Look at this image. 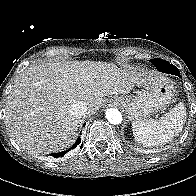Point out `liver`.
<instances>
[{
    "instance_id": "liver-1",
    "label": "liver",
    "mask_w": 196,
    "mask_h": 196,
    "mask_svg": "<svg viewBox=\"0 0 196 196\" xmlns=\"http://www.w3.org/2000/svg\"><path fill=\"white\" fill-rule=\"evenodd\" d=\"M141 75L127 65L109 62H44L23 71L7 97L5 125L11 137L30 153H50L70 147L79 118L69 114L74 102H84L87 115L105 96L128 94Z\"/></svg>"
}]
</instances>
